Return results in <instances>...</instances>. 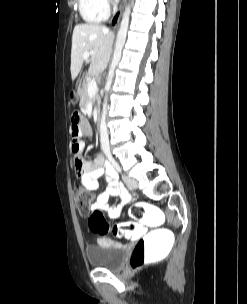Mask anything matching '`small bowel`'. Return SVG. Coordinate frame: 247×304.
I'll list each match as a JSON object with an SVG mask.
<instances>
[{"instance_id":"small-bowel-1","label":"small bowel","mask_w":247,"mask_h":304,"mask_svg":"<svg viewBox=\"0 0 247 304\" xmlns=\"http://www.w3.org/2000/svg\"><path fill=\"white\" fill-rule=\"evenodd\" d=\"M71 119H82V112H71ZM70 152L76 173L82 186L88 191H95L99 187V179L105 176L107 181L106 189L101 192L93 209L100 212H108L111 218L121 216L123 207L131 201V195L121 187L118 182L114 167L106 161L104 155L98 154L91 160L83 159L84 142L82 136H90V126L83 120H71L70 123ZM111 197H118L121 203L117 207H109L108 202Z\"/></svg>"}]
</instances>
